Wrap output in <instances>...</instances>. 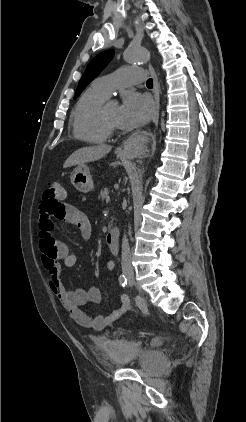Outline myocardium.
Listing matches in <instances>:
<instances>
[{
	"label": "myocardium",
	"mask_w": 246,
	"mask_h": 422,
	"mask_svg": "<svg viewBox=\"0 0 246 422\" xmlns=\"http://www.w3.org/2000/svg\"><path fill=\"white\" fill-rule=\"evenodd\" d=\"M106 106L107 105H103L102 107H101V110H100V119H101V122H102V124L104 125V127L107 129V130H109L110 132H112V131H115V130H117V125H115V124H113V123H111L108 119H107V117H106V114H105V109H106Z\"/></svg>",
	"instance_id": "myocardium-1"
}]
</instances>
